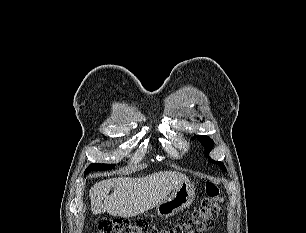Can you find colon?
Returning <instances> with one entry per match:
<instances>
[{"instance_id":"colon-1","label":"colon","mask_w":306,"mask_h":233,"mask_svg":"<svg viewBox=\"0 0 306 233\" xmlns=\"http://www.w3.org/2000/svg\"><path fill=\"white\" fill-rule=\"evenodd\" d=\"M206 196L191 217L169 227L150 226L147 222H130L115 219L102 222L94 233H202L213 227L222 213L223 198L220 188L213 182H206Z\"/></svg>"}]
</instances>
